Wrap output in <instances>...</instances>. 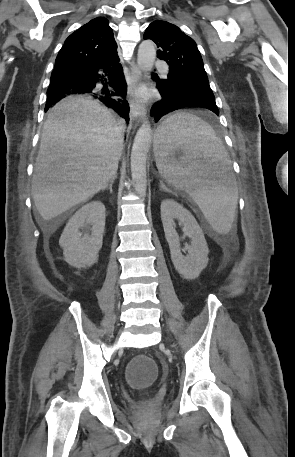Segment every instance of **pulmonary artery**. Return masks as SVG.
<instances>
[{"mask_svg":"<svg viewBox=\"0 0 295 457\" xmlns=\"http://www.w3.org/2000/svg\"><path fill=\"white\" fill-rule=\"evenodd\" d=\"M155 67L161 71L164 76H167L168 66L162 61H156Z\"/></svg>","mask_w":295,"mask_h":457,"instance_id":"obj_1","label":"pulmonary artery"}]
</instances>
